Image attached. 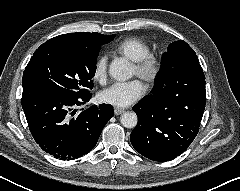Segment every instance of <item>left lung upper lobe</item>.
<instances>
[{"label": "left lung upper lobe", "mask_w": 240, "mask_h": 191, "mask_svg": "<svg viewBox=\"0 0 240 191\" xmlns=\"http://www.w3.org/2000/svg\"><path fill=\"white\" fill-rule=\"evenodd\" d=\"M203 72L196 53L183 40H178L168 46L162 56V62L155 78V86L150 94L166 87L179 75ZM149 94V95H150Z\"/></svg>", "instance_id": "1"}]
</instances>
